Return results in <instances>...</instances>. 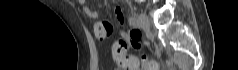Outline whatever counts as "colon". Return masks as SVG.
Segmentation results:
<instances>
[{
	"label": "colon",
	"mask_w": 238,
	"mask_h": 70,
	"mask_svg": "<svg viewBox=\"0 0 238 70\" xmlns=\"http://www.w3.org/2000/svg\"><path fill=\"white\" fill-rule=\"evenodd\" d=\"M141 38V33L138 30H133L130 33H122V36H117L113 40L111 49L113 50L112 58L124 70H138L140 65L139 60L125 53L126 44H130L131 48L139 47L138 40ZM142 65L145 70H158L159 66L156 62L142 60Z\"/></svg>",
	"instance_id": "colon-1"
}]
</instances>
